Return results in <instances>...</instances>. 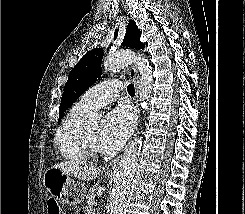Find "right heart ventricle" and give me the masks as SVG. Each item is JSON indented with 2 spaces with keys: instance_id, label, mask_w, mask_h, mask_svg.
Wrapping results in <instances>:
<instances>
[{
  "instance_id": "e07e8e85",
  "label": "right heart ventricle",
  "mask_w": 245,
  "mask_h": 214,
  "mask_svg": "<svg viewBox=\"0 0 245 214\" xmlns=\"http://www.w3.org/2000/svg\"><path fill=\"white\" fill-rule=\"evenodd\" d=\"M91 112L80 101L67 113L54 137V147L58 154L66 161L81 163L86 157L80 150L78 133L86 118Z\"/></svg>"
}]
</instances>
